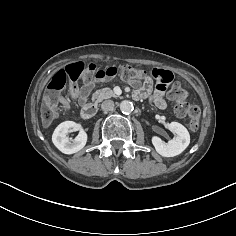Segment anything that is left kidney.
Masks as SVG:
<instances>
[{
    "mask_svg": "<svg viewBox=\"0 0 236 236\" xmlns=\"http://www.w3.org/2000/svg\"><path fill=\"white\" fill-rule=\"evenodd\" d=\"M169 129L176 136L167 143L162 141L159 137L152 138V144L157 153L163 157H174L181 154L190 143V135L188 130L178 122H171Z\"/></svg>",
    "mask_w": 236,
    "mask_h": 236,
    "instance_id": "5707ae66",
    "label": "left kidney"
}]
</instances>
